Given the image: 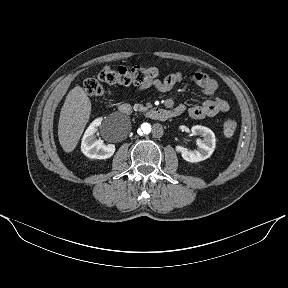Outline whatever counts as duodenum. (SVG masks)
<instances>
[{
  "label": "duodenum",
  "instance_id": "obj_1",
  "mask_svg": "<svg viewBox=\"0 0 288 288\" xmlns=\"http://www.w3.org/2000/svg\"><path fill=\"white\" fill-rule=\"evenodd\" d=\"M119 111L124 115H130L132 113V107L128 103H122L119 106ZM181 114L178 109H166L162 107H153L145 112V116L158 121H165L169 118L176 117Z\"/></svg>",
  "mask_w": 288,
  "mask_h": 288
}]
</instances>
